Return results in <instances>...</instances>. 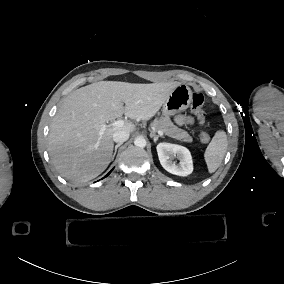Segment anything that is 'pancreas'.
Listing matches in <instances>:
<instances>
[{
    "label": "pancreas",
    "mask_w": 284,
    "mask_h": 284,
    "mask_svg": "<svg viewBox=\"0 0 284 284\" xmlns=\"http://www.w3.org/2000/svg\"><path fill=\"white\" fill-rule=\"evenodd\" d=\"M151 128H154L155 131H162L165 135L177 140H182L184 142H192L193 140L186 131L174 125L168 116L153 121L151 123Z\"/></svg>",
    "instance_id": "1"
}]
</instances>
